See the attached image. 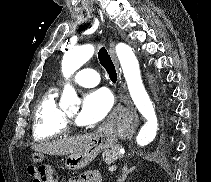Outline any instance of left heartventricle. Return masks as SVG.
Returning <instances> with one entry per match:
<instances>
[{"label":"left heart ventricle","mask_w":211,"mask_h":182,"mask_svg":"<svg viewBox=\"0 0 211 182\" xmlns=\"http://www.w3.org/2000/svg\"><path fill=\"white\" fill-rule=\"evenodd\" d=\"M68 115H69L70 117H74V116H75L74 113H68Z\"/></svg>","instance_id":"1"}]
</instances>
